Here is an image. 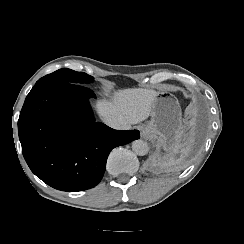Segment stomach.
Wrapping results in <instances>:
<instances>
[{
    "label": "stomach",
    "mask_w": 244,
    "mask_h": 244,
    "mask_svg": "<svg viewBox=\"0 0 244 244\" xmlns=\"http://www.w3.org/2000/svg\"><path fill=\"white\" fill-rule=\"evenodd\" d=\"M144 129L149 131V138L156 140L167 152L178 148L183 137L178 99L168 92L157 94L152 119Z\"/></svg>",
    "instance_id": "1"
}]
</instances>
